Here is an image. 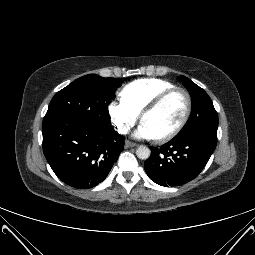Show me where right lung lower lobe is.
Returning a JSON list of instances; mask_svg holds the SVG:
<instances>
[{"label": "right lung lower lobe", "mask_w": 255, "mask_h": 255, "mask_svg": "<svg viewBox=\"0 0 255 255\" xmlns=\"http://www.w3.org/2000/svg\"><path fill=\"white\" fill-rule=\"evenodd\" d=\"M43 151L54 173L67 185L88 189L101 183L124 148L125 138L78 118L43 121Z\"/></svg>", "instance_id": "right-lung-lower-lobe-1"}]
</instances>
